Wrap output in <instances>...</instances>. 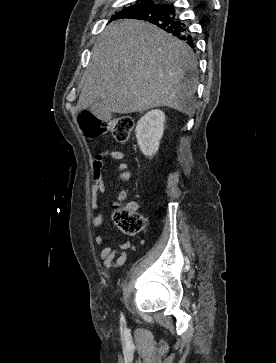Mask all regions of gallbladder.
Segmentation results:
<instances>
[{"label":"gallbladder","instance_id":"1","mask_svg":"<svg viewBox=\"0 0 276 363\" xmlns=\"http://www.w3.org/2000/svg\"><path fill=\"white\" fill-rule=\"evenodd\" d=\"M89 111L93 115H97L100 120H109L111 118V112L105 110L100 98L95 99L93 105L89 107Z\"/></svg>","mask_w":276,"mask_h":363}]
</instances>
